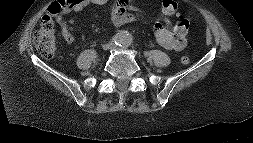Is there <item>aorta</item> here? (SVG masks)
I'll list each match as a JSON object with an SVG mask.
<instances>
[{
  "label": "aorta",
  "instance_id": "762f6f07",
  "mask_svg": "<svg viewBox=\"0 0 253 143\" xmlns=\"http://www.w3.org/2000/svg\"><path fill=\"white\" fill-rule=\"evenodd\" d=\"M130 39V35L125 32V31H121L119 33V43L121 44H126V42Z\"/></svg>",
  "mask_w": 253,
  "mask_h": 143
}]
</instances>
